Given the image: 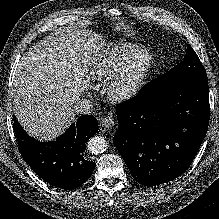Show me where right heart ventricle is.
I'll use <instances>...</instances> for the list:
<instances>
[{
  "mask_svg": "<svg viewBox=\"0 0 219 219\" xmlns=\"http://www.w3.org/2000/svg\"><path fill=\"white\" fill-rule=\"evenodd\" d=\"M140 51V48L131 44L114 45L95 59L90 67L91 80L97 84L109 80L118 66Z\"/></svg>",
  "mask_w": 219,
  "mask_h": 219,
  "instance_id": "right-heart-ventricle-1",
  "label": "right heart ventricle"
}]
</instances>
